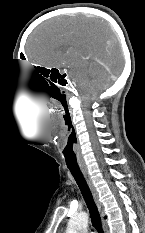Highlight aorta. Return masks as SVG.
Returning a JSON list of instances; mask_svg holds the SVG:
<instances>
[{
	"label": "aorta",
	"mask_w": 145,
	"mask_h": 233,
	"mask_svg": "<svg viewBox=\"0 0 145 233\" xmlns=\"http://www.w3.org/2000/svg\"><path fill=\"white\" fill-rule=\"evenodd\" d=\"M87 227L88 214L82 212L69 220L66 233H87Z\"/></svg>",
	"instance_id": "762f6f07"
}]
</instances>
